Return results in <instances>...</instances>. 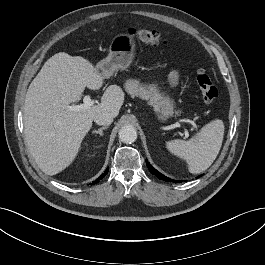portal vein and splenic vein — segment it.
<instances>
[{
    "mask_svg": "<svg viewBox=\"0 0 265 265\" xmlns=\"http://www.w3.org/2000/svg\"><path fill=\"white\" fill-rule=\"evenodd\" d=\"M94 103H95L94 100L91 99V95H85L83 98V104L72 105V106H69L67 109L69 111H80V110L87 109L93 106ZM190 123L192 125H195L193 121H190ZM185 137H188L187 131H185Z\"/></svg>",
    "mask_w": 265,
    "mask_h": 265,
    "instance_id": "1",
    "label": "portal vein and splenic vein"
}]
</instances>
